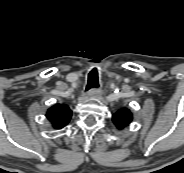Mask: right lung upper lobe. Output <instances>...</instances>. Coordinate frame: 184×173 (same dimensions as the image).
<instances>
[{
  "mask_svg": "<svg viewBox=\"0 0 184 173\" xmlns=\"http://www.w3.org/2000/svg\"><path fill=\"white\" fill-rule=\"evenodd\" d=\"M72 116V111L65 104H55L48 109L46 117L55 129H62L66 126Z\"/></svg>",
  "mask_w": 184,
  "mask_h": 173,
  "instance_id": "1",
  "label": "right lung upper lobe"
}]
</instances>
